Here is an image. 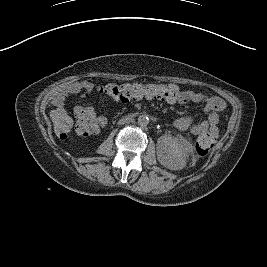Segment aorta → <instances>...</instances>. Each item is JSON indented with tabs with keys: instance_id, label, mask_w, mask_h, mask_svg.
<instances>
[{
	"instance_id": "762f6f07",
	"label": "aorta",
	"mask_w": 267,
	"mask_h": 267,
	"mask_svg": "<svg viewBox=\"0 0 267 267\" xmlns=\"http://www.w3.org/2000/svg\"><path fill=\"white\" fill-rule=\"evenodd\" d=\"M139 126H147L149 123V118L146 115H141L138 117V121H137Z\"/></svg>"
}]
</instances>
